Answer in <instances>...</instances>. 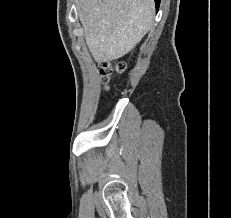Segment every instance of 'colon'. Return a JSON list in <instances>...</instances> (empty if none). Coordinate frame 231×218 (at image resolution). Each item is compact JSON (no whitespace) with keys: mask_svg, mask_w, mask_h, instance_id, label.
<instances>
[{"mask_svg":"<svg viewBox=\"0 0 231 218\" xmlns=\"http://www.w3.org/2000/svg\"><path fill=\"white\" fill-rule=\"evenodd\" d=\"M124 69L125 65L122 62L111 63L109 61H103L101 63V74L103 81L107 83L114 73H121Z\"/></svg>","mask_w":231,"mask_h":218,"instance_id":"1","label":"colon"}]
</instances>
